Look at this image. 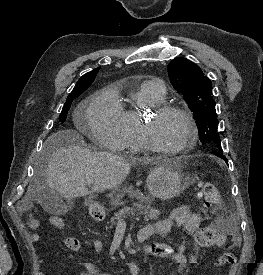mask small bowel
<instances>
[{"label":"small bowel","instance_id":"c3829d8e","mask_svg":"<svg viewBox=\"0 0 263 275\" xmlns=\"http://www.w3.org/2000/svg\"><path fill=\"white\" fill-rule=\"evenodd\" d=\"M54 217L51 218V223L57 228H62L64 226L63 219L59 217L60 222L55 225L53 221ZM207 219L208 215L204 210H190L185 207L174 208L171 210L168 217L142 228L139 232V239L141 241H146L154 235L165 238L174 226L179 227L183 234L192 237L194 241L192 244L193 251L191 253H187L188 243L184 236H182V242L177 247H173L166 242H158L152 243L146 248L148 254L157 258L168 259L172 262L175 269L170 275H180L189 264L196 263L197 261L198 248L199 246H203L198 239L201 231L200 226ZM29 225L32 228H37L39 222L32 219ZM32 239L34 242H37L40 240V236L37 233H33ZM64 244L69 250L74 252H79L83 249L81 242L75 237H66L64 239ZM91 244L95 253H100L102 251L103 243L101 240L94 239ZM41 262L42 260L38 257V263ZM81 266L83 270L79 271L78 275H113L112 273L103 272L90 262H83ZM130 273L132 275H137V268H131ZM38 275L44 274L39 272Z\"/></svg>","mask_w":263,"mask_h":275}]
</instances>
